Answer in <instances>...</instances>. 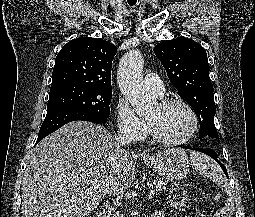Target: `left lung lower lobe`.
Here are the masks:
<instances>
[{
    "label": "left lung lower lobe",
    "mask_w": 255,
    "mask_h": 217,
    "mask_svg": "<svg viewBox=\"0 0 255 217\" xmlns=\"http://www.w3.org/2000/svg\"><path fill=\"white\" fill-rule=\"evenodd\" d=\"M183 148L192 149V150H196V151L202 152V153L207 154L210 157L214 158L218 162V159H217L218 155H217L216 151H214L211 148H192V147H183ZM219 164H220L223 172L225 173V175L228 178V173H227L226 167L222 163H220V162H219Z\"/></svg>",
    "instance_id": "0a47b994"
}]
</instances>
